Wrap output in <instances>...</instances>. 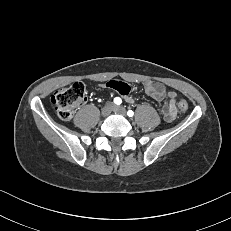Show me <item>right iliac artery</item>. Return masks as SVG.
I'll return each mask as SVG.
<instances>
[{"label": "right iliac artery", "instance_id": "82829eb1", "mask_svg": "<svg viewBox=\"0 0 231 231\" xmlns=\"http://www.w3.org/2000/svg\"><path fill=\"white\" fill-rule=\"evenodd\" d=\"M122 100L119 97L114 98V103L120 105Z\"/></svg>", "mask_w": 231, "mask_h": 231}]
</instances>
